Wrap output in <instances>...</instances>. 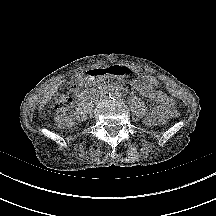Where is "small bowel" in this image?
I'll return each instance as SVG.
<instances>
[{
    "instance_id": "1",
    "label": "small bowel",
    "mask_w": 216,
    "mask_h": 216,
    "mask_svg": "<svg viewBox=\"0 0 216 216\" xmlns=\"http://www.w3.org/2000/svg\"><path fill=\"white\" fill-rule=\"evenodd\" d=\"M158 82L152 76H145L142 79L134 80L132 86L146 98L154 101L157 106L147 115L148 125H158L164 121L167 114L174 107V99L157 89ZM75 92V89H73Z\"/></svg>"
}]
</instances>
